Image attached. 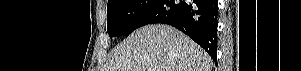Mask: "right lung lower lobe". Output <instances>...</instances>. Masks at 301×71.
Segmentation results:
<instances>
[{
    "mask_svg": "<svg viewBox=\"0 0 301 71\" xmlns=\"http://www.w3.org/2000/svg\"><path fill=\"white\" fill-rule=\"evenodd\" d=\"M217 0H158L139 27L164 23L181 30L217 62Z\"/></svg>",
    "mask_w": 301,
    "mask_h": 71,
    "instance_id": "right-lung-lower-lobe-1",
    "label": "right lung lower lobe"
}]
</instances>
